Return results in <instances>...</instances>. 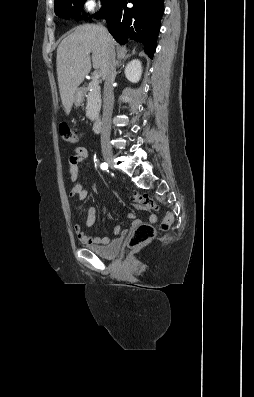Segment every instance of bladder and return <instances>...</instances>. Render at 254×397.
Listing matches in <instances>:
<instances>
[{
  "mask_svg": "<svg viewBox=\"0 0 254 397\" xmlns=\"http://www.w3.org/2000/svg\"><path fill=\"white\" fill-rule=\"evenodd\" d=\"M92 252L103 258H114L118 255L121 242L116 240L105 246H91L89 247Z\"/></svg>",
  "mask_w": 254,
  "mask_h": 397,
  "instance_id": "bladder-1",
  "label": "bladder"
}]
</instances>
